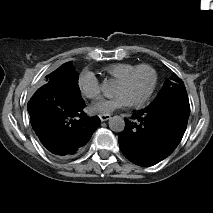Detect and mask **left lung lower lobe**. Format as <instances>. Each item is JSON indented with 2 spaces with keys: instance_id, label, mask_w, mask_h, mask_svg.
<instances>
[{
  "instance_id": "1",
  "label": "left lung lower lobe",
  "mask_w": 213,
  "mask_h": 213,
  "mask_svg": "<svg viewBox=\"0 0 213 213\" xmlns=\"http://www.w3.org/2000/svg\"><path fill=\"white\" fill-rule=\"evenodd\" d=\"M189 112L173 104L147 107L134 113L119 135V145L127 159L139 166H151L177 147L187 127Z\"/></svg>"
}]
</instances>
